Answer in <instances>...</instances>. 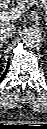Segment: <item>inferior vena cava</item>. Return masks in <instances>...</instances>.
<instances>
[{
	"mask_svg": "<svg viewBox=\"0 0 47 129\" xmlns=\"http://www.w3.org/2000/svg\"><path fill=\"white\" fill-rule=\"evenodd\" d=\"M16 32V27L11 22H1L0 23V33L3 36L10 37Z\"/></svg>",
	"mask_w": 47,
	"mask_h": 129,
	"instance_id": "inferior-vena-cava-1",
	"label": "inferior vena cava"
}]
</instances>
